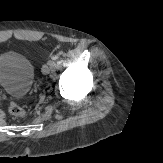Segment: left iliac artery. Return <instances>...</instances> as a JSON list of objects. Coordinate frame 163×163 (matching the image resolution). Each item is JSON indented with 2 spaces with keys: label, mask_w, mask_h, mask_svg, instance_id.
<instances>
[{
  "label": "left iliac artery",
  "mask_w": 163,
  "mask_h": 163,
  "mask_svg": "<svg viewBox=\"0 0 163 163\" xmlns=\"http://www.w3.org/2000/svg\"><path fill=\"white\" fill-rule=\"evenodd\" d=\"M53 60L55 59L54 57L52 58ZM49 61V64L51 65V66H54L55 65V62L54 61Z\"/></svg>",
  "instance_id": "left-iliac-artery-1"
}]
</instances>
